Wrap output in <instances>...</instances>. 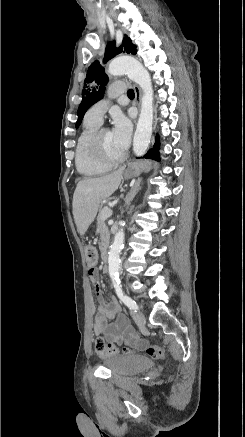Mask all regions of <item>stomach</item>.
<instances>
[{
  "instance_id": "1",
  "label": "stomach",
  "mask_w": 245,
  "mask_h": 437,
  "mask_svg": "<svg viewBox=\"0 0 245 437\" xmlns=\"http://www.w3.org/2000/svg\"><path fill=\"white\" fill-rule=\"evenodd\" d=\"M150 169V165L148 162L140 161L129 164L128 168L124 172L125 179H131L137 177L143 171H148Z\"/></svg>"
}]
</instances>
